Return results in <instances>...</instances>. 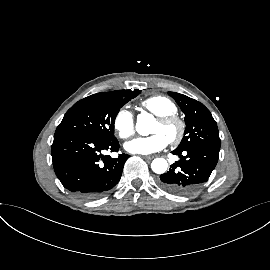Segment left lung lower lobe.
I'll return each mask as SVG.
<instances>
[{"label": "left lung lower lobe", "instance_id": "left-lung-lower-lobe-1", "mask_svg": "<svg viewBox=\"0 0 270 270\" xmlns=\"http://www.w3.org/2000/svg\"><path fill=\"white\" fill-rule=\"evenodd\" d=\"M218 148L193 146L175 149L180 160L171 165L167 173L160 175L159 185L176 195H187L199 189L210 177L219 157Z\"/></svg>", "mask_w": 270, "mask_h": 270}]
</instances>
